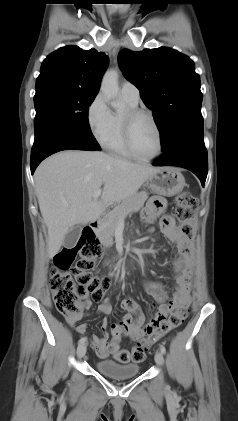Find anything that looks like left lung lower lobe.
I'll return each mask as SVG.
<instances>
[{"instance_id":"0a47b994","label":"left lung lower lobe","mask_w":238,"mask_h":421,"mask_svg":"<svg viewBox=\"0 0 238 421\" xmlns=\"http://www.w3.org/2000/svg\"><path fill=\"white\" fill-rule=\"evenodd\" d=\"M163 151V155L153 164L154 166H179L189 169L204 186L208 162L203 125L187 129Z\"/></svg>"}]
</instances>
